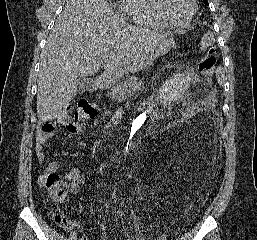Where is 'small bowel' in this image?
<instances>
[{"label":"small bowel","instance_id":"c3829d8e","mask_svg":"<svg viewBox=\"0 0 257 240\" xmlns=\"http://www.w3.org/2000/svg\"><path fill=\"white\" fill-rule=\"evenodd\" d=\"M76 128H73L71 126H67V131L69 133H75L76 132ZM52 137L51 133H44L42 131H39V133L37 134L36 137V145H37V159L39 163H42L45 158H46V154L42 149V146ZM59 169V163L55 160H51L44 172L40 175V179H42L44 176H46L47 174L50 173H56ZM62 178L67 181L69 183V190L72 194H78L83 186L84 183V177L80 171L79 168H74L72 170H70L69 172H67L66 174H64L62 176ZM69 226L71 228H76L77 225L75 222H70ZM80 240H88V238L80 233Z\"/></svg>","mask_w":257,"mask_h":240}]
</instances>
